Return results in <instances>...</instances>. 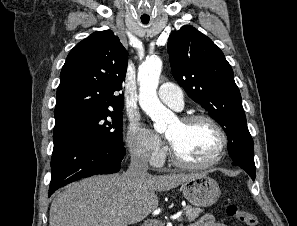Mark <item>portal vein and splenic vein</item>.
<instances>
[{"label": "portal vein and splenic vein", "instance_id": "1", "mask_svg": "<svg viewBox=\"0 0 297 226\" xmlns=\"http://www.w3.org/2000/svg\"><path fill=\"white\" fill-rule=\"evenodd\" d=\"M171 220H177V221H181L182 220V216L177 214V215H173L170 217ZM153 222H157V220H150L149 223H153Z\"/></svg>", "mask_w": 297, "mask_h": 226}]
</instances>
